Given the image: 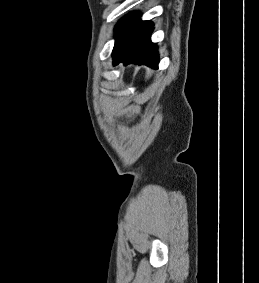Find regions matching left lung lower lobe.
Masks as SVG:
<instances>
[{
    "mask_svg": "<svg viewBox=\"0 0 259 283\" xmlns=\"http://www.w3.org/2000/svg\"><path fill=\"white\" fill-rule=\"evenodd\" d=\"M115 27L113 65L145 64L157 68L159 56L157 47L151 42L153 30L151 21H141L139 12H131Z\"/></svg>",
    "mask_w": 259,
    "mask_h": 283,
    "instance_id": "obj_1",
    "label": "left lung lower lobe"
}]
</instances>
